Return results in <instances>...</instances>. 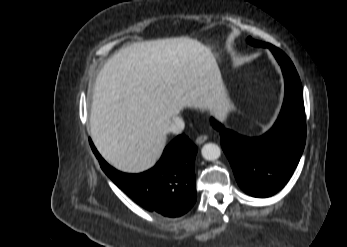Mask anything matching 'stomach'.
<instances>
[{
    "instance_id": "1",
    "label": "stomach",
    "mask_w": 347,
    "mask_h": 247,
    "mask_svg": "<svg viewBox=\"0 0 347 247\" xmlns=\"http://www.w3.org/2000/svg\"><path fill=\"white\" fill-rule=\"evenodd\" d=\"M214 55H215V56H217L218 54H217V53H215Z\"/></svg>"
}]
</instances>
